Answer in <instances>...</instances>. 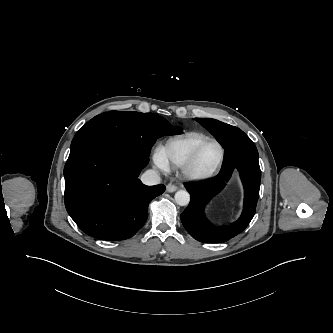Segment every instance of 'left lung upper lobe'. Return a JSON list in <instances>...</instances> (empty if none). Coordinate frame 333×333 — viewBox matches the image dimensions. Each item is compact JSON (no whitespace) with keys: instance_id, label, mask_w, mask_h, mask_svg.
<instances>
[{"instance_id":"1","label":"left lung upper lobe","mask_w":333,"mask_h":333,"mask_svg":"<svg viewBox=\"0 0 333 333\" xmlns=\"http://www.w3.org/2000/svg\"><path fill=\"white\" fill-rule=\"evenodd\" d=\"M195 120L202 124L211 134H213L224 149L230 140L238 135L244 134V132L239 128L215 119L195 118Z\"/></svg>"}]
</instances>
